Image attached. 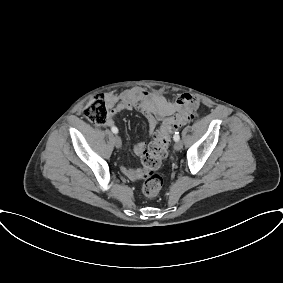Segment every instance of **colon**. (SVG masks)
<instances>
[{
    "label": "colon",
    "mask_w": 283,
    "mask_h": 283,
    "mask_svg": "<svg viewBox=\"0 0 283 283\" xmlns=\"http://www.w3.org/2000/svg\"><path fill=\"white\" fill-rule=\"evenodd\" d=\"M198 114L197 103L194 101L185 103L173 116L166 119L159 130L154 134L153 141L141 154L143 165L142 193L146 198H154L162 187V178L156 174L168 153L171 135L187 121ZM84 116L95 126H103L107 123L109 110L107 102L102 97L90 99L84 108Z\"/></svg>",
    "instance_id": "1"
}]
</instances>
